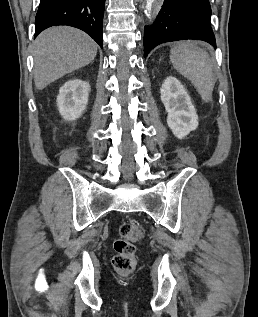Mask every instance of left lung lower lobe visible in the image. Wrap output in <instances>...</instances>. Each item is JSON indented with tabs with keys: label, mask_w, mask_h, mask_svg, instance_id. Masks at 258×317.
<instances>
[{
	"label": "left lung lower lobe",
	"mask_w": 258,
	"mask_h": 317,
	"mask_svg": "<svg viewBox=\"0 0 258 317\" xmlns=\"http://www.w3.org/2000/svg\"><path fill=\"white\" fill-rule=\"evenodd\" d=\"M209 0H165L155 23L144 29V57L159 44L203 40L216 48Z\"/></svg>",
	"instance_id": "obj_1"
}]
</instances>
